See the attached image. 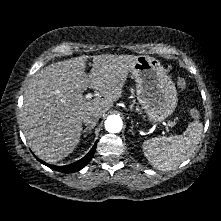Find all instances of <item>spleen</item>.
Masks as SVG:
<instances>
[{"instance_id":"obj_1","label":"spleen","mask_w":221,"mask_h":221,"mask_svg":"<svg viewBox=\"0 0 221 221\" xmlns=\"http://www.w3.org/2000/svg\"><path fill=\"white\" fill-rule=\"evenodd\" d=\"M203 124L194 121L183 135L155 137L143 143L142 149L149 163L160 171L171 170L194 152L202 136Z\"/></svg>"}]
</instances>
